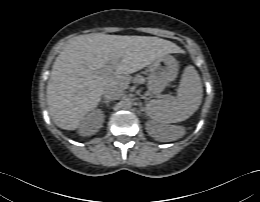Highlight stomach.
<instances>
[{"instance_id":"stomach-1","label":"stomach","mask_w":260,"mask_h":202,"mask_svg":"<svg viewBox=\"0 0 260 202\" xmlns=\"http://www.w3.org/2000/svg\"><path fill=\"white\" fill-rule=\"evenodd\" d=\"M177 75V63L169 55L157 58L150 65V74L147 78V89L151 94H159Z\"/></svg>"}]
</instances>
